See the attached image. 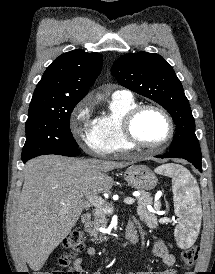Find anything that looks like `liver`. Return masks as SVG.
Returning <instances> with one entry per match:
<instances>
[{
    "instance_id": "obj_1",
    "label": "liver",
    "mask_w": 215,
    "mask_h": 274,
    "mask_svg": "<svg viewBox=\"0 0 215 274\" xmlns=\"http://www.w3.org/2000/svg\"><path fill=\"white\" fill-rule=\"evenodd\" d=\"M128 165L123 161L54 155L27 162L13 237L17 250L32 270L39 271L71 232L88 207L87 196L110 190L114 181L106 173Z\"/></svg>"
}]
</instances>
